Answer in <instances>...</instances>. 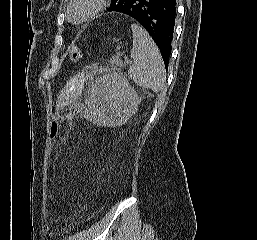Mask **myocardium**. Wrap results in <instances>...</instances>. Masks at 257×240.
Wrapping results in <instances>:
<instances>
[{
  "label": "myocardium",
  "mask_w": 257,
  "mask_h": 240,
  "mask_svg": "<svg viewBox=\"0 0 257 240\" xmlns=\"http://www.w3.org/2000/svg\"><path fill=\"white\" fill-rule=\"evenodd\" d=\"M82 1L88 4V9L82 16L76 18L72 13V8L74 7V5ZM104 6L105 0H70L67 5L66 12L68 19L71 23L81 25L94 18L98 13L103 10Z\"/></svg>",
  "instance_id": "myocardium-1"
}]
</instances>
